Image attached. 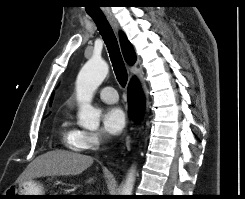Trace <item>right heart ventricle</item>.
<instances>
[{"mask_svg": "<svg viewBox=\"0 0 245 199\" xmlns=\"http://www.w3.org/2000/svg\"><path fill=\"white\" fill-rule=\"evenodd\" d=\"M59 129L66 146L75 152L84 151L82 146V131L73 123L72 116L69 112L65 113L60 120Z\"/></svg>", "mask_w": 245, "mask_h": 199, "instance_id": "1", "label": "right heart ventricle"}]
</instances>
